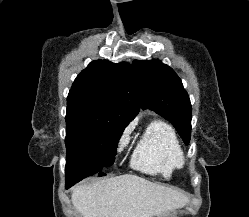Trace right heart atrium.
<instances>
[{"label":"right heart atrium","instance_id":"d8ad5b80","mask_svg":"<svg viewBox=\"0 0 249 217\" xmlns=\"http://www.w3.org/2000/svg\"><path fill=\"white\" fill-rule=\"evenodd\" d=\"M131 132H132V125L127 126L123 130L122 134L120 135L118 145H117L118 153L123 152L129 145Z\"/></svg>","mask_w":249,"mask_h":217}]
</instances>
